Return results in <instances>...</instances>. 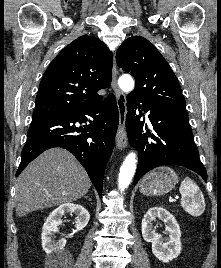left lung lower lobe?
Returning a JSON list of instances; mask_svg holds the SVG:
<instances>
[{
    "instance_id": "0a47b994",
    "label": "left lung lower lobe",
    "mask_w": 221,
    "mask_h": 268,
    "mask_svg": "<svg viewBox=\"0 0 221 268\" xmlns=\"http://www.w3.org/2000/svg\"><path fill=\"white\" fill-rule=\"evenodd\" d=\"M126 129L129 143L139 151L134 185L155 167L174 164L189 168L207 181V173L198 156L185 107L163 105L127 96ZM148 112L154 133L140 121Z\"/></svg>"
}]
</instances>
